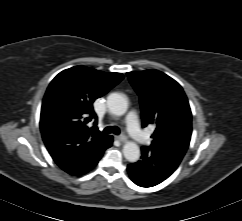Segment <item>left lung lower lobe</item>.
<instances>
[{"instance_id": "obj_1", "label": "left lung lower lobe", "mask_w": 242, "mask_h": 221, "mask_svg": "<svg viewBox=\"0 0 242 221\" xmlns=\"http://www.w3.org/2000/svg\"><path fill=\"white\" fill-rule=\"evenodd\" d=\"M141 151V160L127 166L131 180L138 186L152 187L161 183L180 164L179 161L156 149L143 146Z\"/></svg>"}]
</instances>
